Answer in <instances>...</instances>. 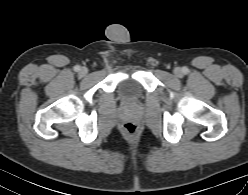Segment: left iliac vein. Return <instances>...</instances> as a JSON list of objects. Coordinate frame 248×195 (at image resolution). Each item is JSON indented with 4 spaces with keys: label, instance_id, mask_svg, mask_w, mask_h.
Wrapping results in <instances>:
<instances>
[{
    "label": "left iliac vein",
    "instance_id": "obj_1",
    "mask_svg": "<svg viewBox=\"0 0 248 195\" xmlns=\"http://www.w3.org/2000/svg\"><path fill=\"white\" fill-rule=\"evenodd\" d=\"M174 74L177 76V77H181L182 76V71L180 68H176L174 70Z\"/></svg>",
    "mask_w": 248,
    "mask_h": 195
}]
</instances>
